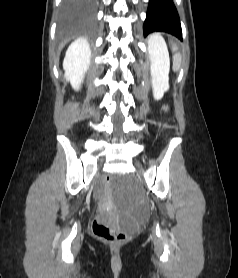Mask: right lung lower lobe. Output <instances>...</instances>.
<instances>
[{
    "label": "right lung lower lobe",
    "mask_w": 238,
    "mask_h": 278,
    "mask_svg": "<svg viewBox=\"0 0 238 278\" xmlns=\"http://www.w3.org/2000/svg\"><path fill=\"white\" fill-rule=\"evenodd\" d=\"M95 0H67L64 26L79 28L89 25L94 17Z\"/></svg>",
    "instance_id": "obj_1"
}]
</instances>
